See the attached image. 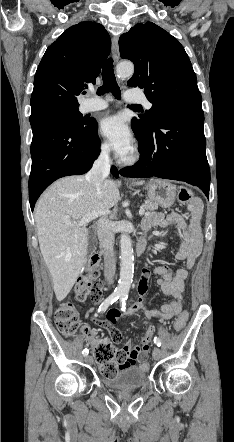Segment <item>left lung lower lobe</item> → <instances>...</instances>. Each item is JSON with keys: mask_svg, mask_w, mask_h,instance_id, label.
<instances>
[{"mask_svg": "<svg viewBox=\"0 0 234 442\" xmlns=\"http://www.w3.org/2000/svg\"><path fill=\"white\" fill-rule=\"evenodd\" d=\"M202 108L174 111L137 139L140 160L120 173L125 177H159L186 181L209 198L210 169L206 157Z\"/></svg>", "mask_w": 234, "mask_h": 442, "instance_id": "0a47b994", "label": "left lung lower lobe"}]
</instances>
